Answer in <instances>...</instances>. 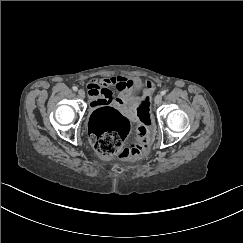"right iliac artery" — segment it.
Instances as JSON below:
<instances>
[{"mask_svg":"<svg viewBox=\"0 0 243 243\" xmlns=\"http://www.w3.org/2000/svg\"><path fill=\"white\" fill-rule=\"evenodd\" d=\"M73 90H74V91H77V90H78V88H77L76 86H74V87H73Z\"/></svg>","mask_w":243,"mask_h":243,"instance_id":"obj_1","label":"right iliac artery"}]
</instances>
